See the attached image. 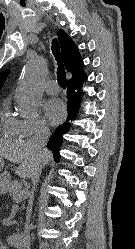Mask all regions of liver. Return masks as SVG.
Wrapping results in <instances>:
<instances>
[{
    "label": "liver",
    "instance_id": "6515ba94",
    "mask_svg": "<svg viewBox=\"0 0 135 249\" xmlns=\"http://www.w3.org/2000/svg\"><path fill=\"white\" fill-rule=\"evenodd\" d=\"M0 158H6L14 164H20L16 174L22 178H32L33 172L41 161L45 164L51 160L52 154L47 150L42 156L36 152L30 141H16L0 139Z\"/></svg>",
    "mask_w": 135,
    "mask_h": 249
}]
</instances>
